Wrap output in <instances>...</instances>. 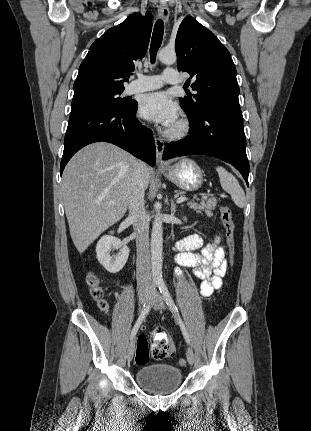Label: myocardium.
<instances>
[{
    "instance_id": "myocardium-1",
    "label": "myocardium",
    "mask_w": 311,
    "mask_h": 431,
    "mask_svg": "<svg viewBox=\"0 0 311 431\" xmlns=\"http://www.w3.org/2000/svg\"><path fill=\"white\" fill-rule=\"evenodd\" d=\"M192 124L187 116H183L171 129L166 132V136L172 140L183 138L190 134Z\"/></svg>"
}]
</instances>
